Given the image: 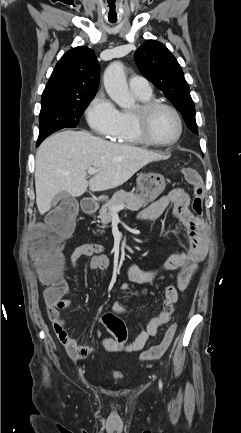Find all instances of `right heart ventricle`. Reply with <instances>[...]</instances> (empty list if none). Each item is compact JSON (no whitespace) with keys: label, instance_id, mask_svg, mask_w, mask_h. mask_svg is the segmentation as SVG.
Returning <instances> with one entry per match:
<instances>
[{"label":"right heart ventricle","instance_id":"1","mask_svg":"<svg viewBox=\"0 0 241 433\" xmlns=\"http://www.w3.org/2000/svg\"><path fill=\"white\" fill-rule=\"evenodd\" d=\"M137 99L141 102H147L152 99V94L141 95L134 93ZM114 142L128 144V145H144L145 143L138 135L132 117V111H121L120 112V123L117 131L111 137Z\"/></svg>","mask_w":241,"mask_h":433}]
</instances>
